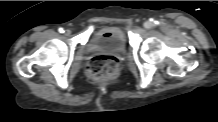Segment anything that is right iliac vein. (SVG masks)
<instances>
[{
	"label": "right iliac vein",
	"mask_w": 218,
	"mask_h": 122,
	"mask_svg": "<svg viewBox=\"0 0 218 122\" xmlns=\"http://www.w3.org/2000/svg\"><path fill=\"white\" fill-rule=\"evenodd\" d=\"M70 34H71V30L67 29V30L65 31V35H66V36H69Z\"/></svg>",
	"instance_id": "63e3f726"
}]
</instances>
